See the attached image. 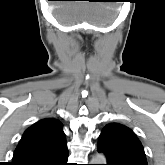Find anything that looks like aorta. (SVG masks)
I'll return each mask as SVG.
<instances>
[{
  "mask_svg": "<svg viewBox=\"0 0 165 165\" xmlns=\"http://www.w3.org/2000/svg\"><path fill=\"white\" fill-rule=\"evenodd\" d=\"M106 157L103 154H96L92 158V164H106Z\"/></svg>",
  "mask_w": 165,
  "mask_h": 165,
  "instance_id": "obj_1",
  "label": "aorta"
}]
</instances>
